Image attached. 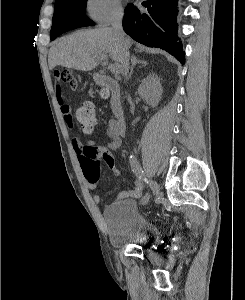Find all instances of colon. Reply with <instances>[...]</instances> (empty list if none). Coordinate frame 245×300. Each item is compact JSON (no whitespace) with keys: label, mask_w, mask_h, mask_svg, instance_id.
Listing matches in <instances>:
<instances>
[{"label":"colon","mask_w":245,"mask_h":300,"mask_svg":"<svg viewBox=\"0 0 245 300\" xmlns=\"http://www.w3.org/2000/svg\"><path fill=\"white\" fill-rule=\"evenodd\" d=\"M54 78L57 83L68 85L71 90L77 89V78L70 70L57 71L54 74ZM107 95L108 92L103 90L102 96L106 97ZM75 116L85 133L93 132L97 124V118L94 105L91 102L85 101L81 103L76 109ZM82 165L86 177L90 181H95L99 174V167L95 159V151H89L87 153Z\"/></svg>","instance_id":"colon-1"}]
</instances>
